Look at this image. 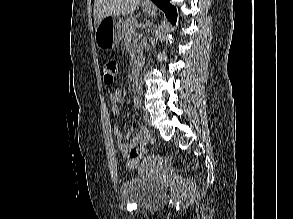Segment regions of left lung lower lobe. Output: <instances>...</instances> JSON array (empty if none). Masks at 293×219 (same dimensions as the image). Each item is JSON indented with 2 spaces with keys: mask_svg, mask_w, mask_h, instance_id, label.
I'll use <instances>...</instances> for the list:
<instances>
[{
  "mask_svg": "<svg viewBox=\"0 0 293 219\" xmlns=\"http://www.w3.org/2000/svg\"><path fill=\"white\" fill-rule=\"evenodd\" d=\"M160 9H162L167 19L175 24L177 12L176 8L170 4V0H152Z\"/></svg>",
  "mask_w": 293,
  "mask_h": 219,
  "instance_id": "obj_1",
  "label": "left lung lower lobe"
}]
</instances>
